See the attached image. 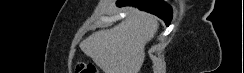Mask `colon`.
<instances>
[{
    "label": "colon",
    "instance_id": "colon-1",
    "mask_svg": "<svg viewBox=\"0 0 244 73\" xmlns=\"http://www.w3.org/2000/svg\"><path fill=\"white\" fill-rule=\"evenodd\" d=\"M76 73H98L97 68L92 63L78 62L75 65Z\"/></svg>",
    "mask_w": 244,
    "mask_h": 73
}]
</instances>
